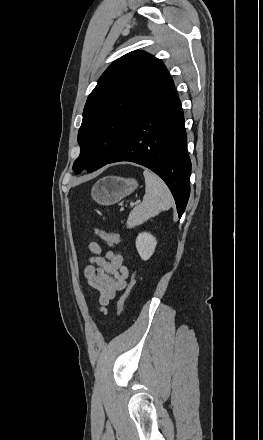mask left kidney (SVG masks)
I'll list each match as a JSON object with an SVG mask.
<instances>
[{"instance_id":"left-kidney-1","label":"left kidney","mask_w":263,"mask_h":440,"mask_svg":"<svg viewBox=\"0 0 263 440\" xmlns=\"http://www.w3.org/2000/svg\"><path fill=\"white\" fill-rule=\"evenodd\" d=\"M157 241L148 232L140 233L136 238V249L142 260H148L154 253Z\"/></svg>"}]
</instances>
